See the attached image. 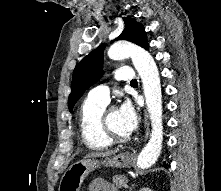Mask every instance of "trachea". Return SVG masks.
Segmentation results:
<instances>
[{"label":"trachea","mask_w":221,"mask_h":191,"mask_svg":"<svg viewBox=\"0 0 221 191\" xmlns=\"http://www.w3.org/2000/svg\"><path fill=\"white\" fill-rule=\"evenodd\" d=\"M131 84H137V81L136 80H132Z\"/></svg>","instance_id":"obj_1"}]
</instances>
